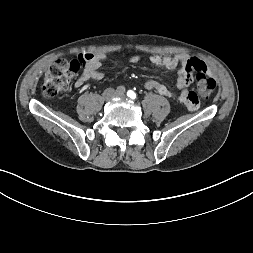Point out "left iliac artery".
<instances>
[{"instance_id": "obj_1", "label": "left iliac artery", "mask_w": 253, "mask_h": 253, "mask_svg": "<svg viewBox=\"0 0 253 253\" xmlns=\"http://www.w3.org/2000/svg\"><path fill=\"white\" fill-rule=\"evenodd\" d=\"M127 95H128V97H130L131 99H135V98H136V93H135L134 91H132V90H129V91L127 92Z\"/></svg>"}]
</instances>
